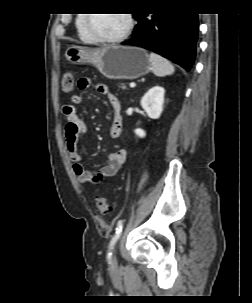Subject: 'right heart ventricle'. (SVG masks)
Instances as JSON below:
<instances>
[{
  "mask_svg": "<svg viewBox=\"0 0 252 303\" xmlns=\"http://www.w3.org/2000/svg\"><path fill=\"white\" fill-rule=\"evenodd\" d=\"M76 26L78 28L79 34L83 38H88V33L85 29V17H78L76 19Z\"/></svg>",
  "mask_w": 252,
  "mask_h": 303,
  "instance_id": "obj_1",
  "label": "right heart ventricle"
}]
</instances>
